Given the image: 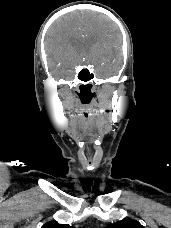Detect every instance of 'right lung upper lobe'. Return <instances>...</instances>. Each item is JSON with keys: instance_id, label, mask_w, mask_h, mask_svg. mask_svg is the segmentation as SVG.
<instances>
[{"instance_id": "obj_1", "label": "right lung upper lobe", "mask_w": 171, "mask_h": 228, "mask_svg": "<svg viewBox=\"0 0 171 228\" xmlns=\"http://www.w3.org/2000/svg\"><path fill=\"white\" fill-rule=\"evenodd\" d=\"M41 228H74V227H71L67 224H59L58 222L50 221L44 224Z\"/></svg>"}]
</instances>
